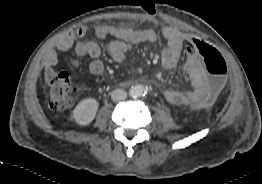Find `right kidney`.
I'll use <instances>...</instances> for the list:
<instances>
[{
    "mask_svg": "<svg viewBox=\"0 0 262 184\" xmlns=\"http://www.w3.org/2000/svg\"><path fill=\"white\" fill-rule=\"evenodd\" d=\"M98 106V102L93 98L82 100L73 111L75 121L79 125H88L94 119Z\"/></svg>",
    "mask_w": 262,
    "mask_h": 184,
    "instance_id": "ca27d5eb",
    "label": "right kidney"
}]
</instances>
